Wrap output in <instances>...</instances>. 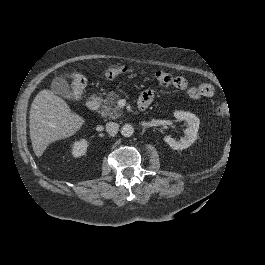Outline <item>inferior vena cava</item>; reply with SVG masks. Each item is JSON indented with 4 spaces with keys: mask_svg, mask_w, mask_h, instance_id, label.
I'll use <instances>...</instances> for the list:
<instances>
[{
    "mask_svg": "<svg viewBox=\"0 0 265 265\" xmlns=\"http://www.w3.org/2000/svg\"><path fill=\"white\" fill-rule=\"evenodd\" d=\"M118 130H119V125L117 123L109 122L106 124V131L111 136H114L115 134H117Z\"/></svg>",
    "mask_w": 265,
    "mask_h": 265,
    "instance_id": "inferior-vena-cava-1",
    "label": "inferior vena cava"
}]
</instances>
